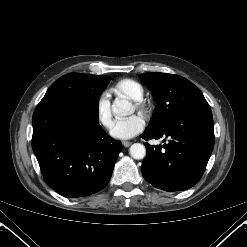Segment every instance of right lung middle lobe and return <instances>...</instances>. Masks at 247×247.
<instances>
[{
    "label": "right lung middle lobe",
    "mask_w": 247,
    "mask_h": 247,
    "mask_svg": "<svg viewBox=\"0 0 247 247\" xmlns=\"http://www.w3.org/2000/svg\"><path fill=\"white\" fill-rule=\"evenodd\" d=\"M111 78L109 76L69 73L56 80L47 90L44 99L60 97L81 102H92L99 107V96Z\"/></svg>",
    "instance_id": "dd1d6c3e"
}]
</instances>
